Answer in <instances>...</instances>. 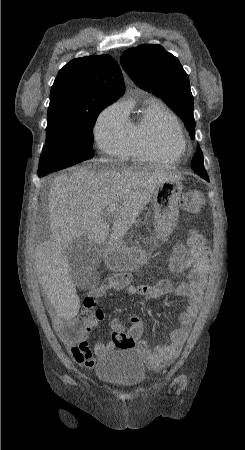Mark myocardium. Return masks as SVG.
I'll return each instance as SVG.
<instances>
[{
	"label": "myocardium",
	"instance_id": "obj_1",
	"mask_svg": "<svg viewBox=\"0 0 245 450\" xmlns=\"http://www.w3.org/2000/svg\"><path fill=\"white\" fill-rule=\"evenodd\" d=\"M165 121L169 122L176 134V138L180 143V149L176 150L173 146V144L169 141V139L165 136V133L163 130L159 129L157 130V138H158V143L160 144L161 147H163L164 149L170 151L171 153H173L175 155L176 158H180L182 157L188 149V143L187 140L184 136V133L182 131V128L180 126V124L178 123V121L173 118L172 116L168 117L167 119H165Z\"/></svg>",
	"mask_w": 245,
	"mask_h": 450
}]
</instances>
